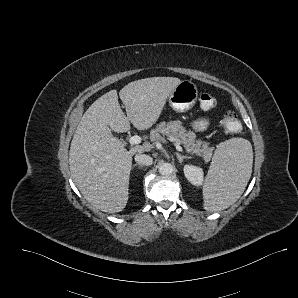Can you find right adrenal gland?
<instances>
[{"instance_id": "1", "label": "right adrenal gland", "mask_w": 298, "mask_h": 298, "mask_svg": "<svg viewBox=\"0 0 298 298\" xmlns=\"http://www.w3.org/2000/svg\"><path fill=\"white\" fill-rule=\"evenodd\" d=\"M139 165H140V166H143V164H140V163H139Z\"/></svg>"}]
</instances>
